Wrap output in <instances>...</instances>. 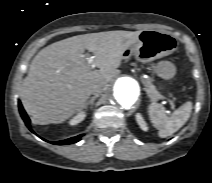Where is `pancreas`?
Masks as SVG:
<instances>
[{"label":"pancreas","mask_w":212,"mask_h":183,"mask_svg":"<svg viewBox=\"0 0 212 183\" xmlns=\"http://www.w3.org/2000/svg\"><path fill=\"white\" fill-rule=\"evenodd\" d=\"M144 84L148 96L154 101L157 100L160 97V94L156 90L155 86L152 84V79L149 78L145 80Z\"/></svg>","instance_id":"1"}]
</instances>
